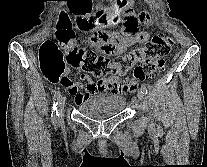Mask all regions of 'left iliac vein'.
<instances>
[{"label": "left iliac vein", "instance_id": "left-iliac-vein-1", "mask_svg": "<svg viewBox=\"0 0 207 167\" xmlns=\"http://www.w3.org/2000/svg\"><path fill=\"white\" fill-rule=\"evenodd\" d=\"M137 96H138V99H139L140 101H142V102L145 101L144 94H143L141 91L138 92Z\"/></svg>", "mask_w": 207, "mask_h": 167}]
</instances>
